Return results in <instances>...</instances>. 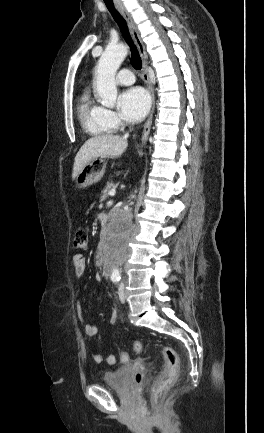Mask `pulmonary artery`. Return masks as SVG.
Listing matches in <instances>:
<instances>
[{"label": "pulmonary artery", "mask_w": 264, "mask_h": 433, "mask_svg": "<svg viewBox=\"0 0 264 433\" xmlns=\"http://www.w3.org/2000/svg\"><path fill=\"white\" fill-rule=\"evenodd\" d=\"M116 82L119 85L128 86L135 82V78L130 69H122L116 76Z\"/></svg>", "instance_id": "e3ab8cb5"}]
</instances>
